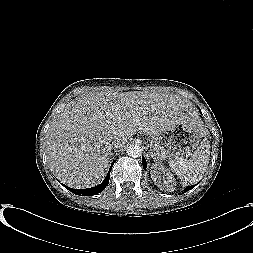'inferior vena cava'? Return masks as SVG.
<instances>
[{
    "label": "inferior vena cava",
    "mask_w": 253,
    "mask_h": 253,
    "mask_svg": "<svg viewBox=\"0 0 253 253\" xmlns=\"http://www.w3.org/2000/svg\"><path fill=\"white\" fill-rule=\"evenodd\" d=\"M111 143H112L113 147L120 148L123 145V140H122V138L119 135H114L111 138Z\"/></svg>",
    "instance_id": "602c4592"
}]
</instances>
